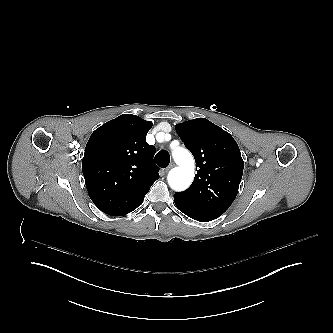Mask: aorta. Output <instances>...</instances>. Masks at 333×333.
<instances>
[{"instance_id": "1", "label": "aorta", "mask_w": 333, "mask_h": 333, "mask_svg": "<svg viewBox=\"0 0 333 333\" xmlns=\"http://www.w3.org/2000/svg\"><path fill=\"white\" fill-rule=\"evenodd\" d=\"M173 159L180 162V166L168 174V184L175 191H184L192 183L194 177V160L188 150L176 148L172 152Z\"/></svg>"}]
</instances>
